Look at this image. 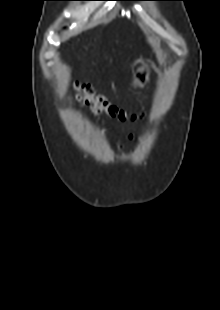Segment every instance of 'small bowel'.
I'll return each mask as SVG.
<instances>
[{"instance_id": "small-bowel-1", "label": "small bowel", "mask_w": 220, "mask_h": 310, "mask_svg": "<svg viewBox=\"0 0 220 310\" xmlns=\"http://www.w3.org/2000/svg\"><path fill=\"white\" fill-rule=\"evenodd\" d=\"M133 138H134V135L129 136V139H133ZM120 148H122V147L120 146Z\"/></svg>"}]
</instances>
